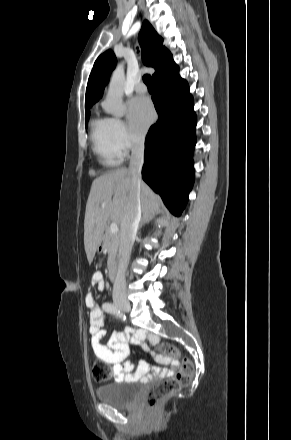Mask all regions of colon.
I'll use <instances>...</instances> for the list:
<instances>
[{
	"mask_svg": "<svg viewBox=\"0 0 291 440\" xmlns=\"http://www.w3.org/2000/svg\"><path fill=\"white\" fill-rule=\"evenodd\" d=\"M157 358L167 359L179 355L178 350L170 343L162 342L157 346ZM93 378L98 381H106L111 376L108 363L104 361L97 362L92 369ZM194 365L188 358H181L180 368L177 374L168 380L158 381L154 383L148 390L145 398V404L149 408H156L159 403L177 393L182 388L188 386L193 378Z\"/></svg>",
	"mask_w": 291,
	"mask_h": 440,
	"instance_id": "1",
	"label": "colon"
}]
</instances>
